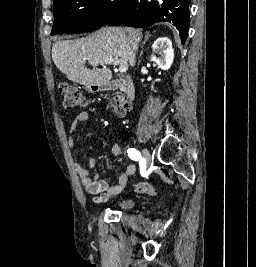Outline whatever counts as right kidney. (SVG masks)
<instances>
[{"instance_id": "ca27d5eb", "label": "right kidney", "mask_w": 256, "mask_h": 267, "mask_svg": "<svg viewBox=\"0 0 256 267\" xmlns=\"http://www.w3.org/2000/svg\"><path fill=\"white\" fill-rule=\"evenodd\" d=\"M152 52L153 54H160V58H155L158 68H161V70H169L174 60L171 40H169V38H157L152 46Z\"/></svg>"}]
</instances>
